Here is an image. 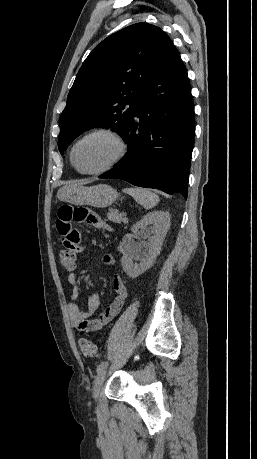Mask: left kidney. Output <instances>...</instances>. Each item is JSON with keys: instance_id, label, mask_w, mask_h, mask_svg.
I'll list each match as a JSON object with an SVG mask.
<instances>
[{"instance_id": "obj_1", "label": "left kidney", "mask_w": 257, "mask_h": 459, "mask_svg": "<svg viewBox=\"0 0 257 459\" xmlns=\"http://www.w3.org/2000/svg\"><path fill=\"white\" fill-rule=\"evenodd\" d=\"M170 228V214L165 211H154L143 216L131 228L135 236L147 238L143 249L141 244L128 241L122 248V267L130 278H136L153 266L160 254L164 238ZM139 260L140 264H134Z\"/></svg>"}]
</instances>
